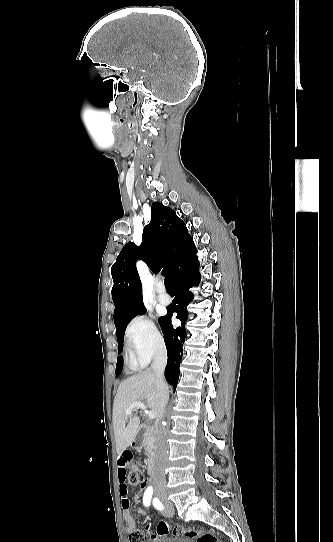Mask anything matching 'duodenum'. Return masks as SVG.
<instances>
[{"instance_id":"410a0bca","label":"duodenum","mask_w":333,"mask_h":542,"mask_svg":"<svg viewBox=\"0 0 333 542\" xmlns=\"http://www.w3.org/2000/svg\"><path fill=\"white\" fill-rule=\"evenodd\" d=\"M150 442V435L148 431H144L143 434L138 435L133 438L131 446L133 448H142ZM155 469V457L151 456L147 462V472L148 474H153Z\"/></svg>"}]
</instances>
